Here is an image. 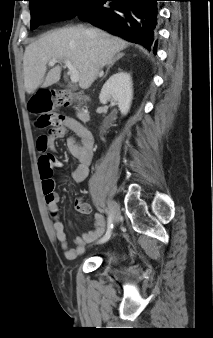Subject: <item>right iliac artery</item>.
<instances>
[{"mask_svg":"<svg viewBox=\"0 0 213 338\" xmlns=\"http://www.w3.org/2000/svg\"><path fill=\"white\" fill-rule=\"evenodd\" d=\"M106 214H107V231L106 234L98 241V243H104L107 240H109L111 233H112V229H113V220L112 217L110 215V213L108 212L107 209H105Z\"/></svg>","mask_w":213,"mask_h":338,"instance_id":"1","label":"right iliac artery"}]
</instances>
